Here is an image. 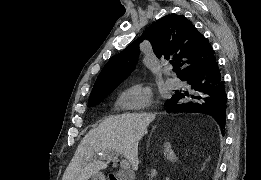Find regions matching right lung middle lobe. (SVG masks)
I'll list each match as a JSON object with an SVG mask.
<instances>
[{"label":"right lung middle lobe","instance_id":"1","mask_svg":"<svg viewBox=\"0 0 261 180\" xmlns=\"http://www.w3.org/2000/svg\"><path fill=\"white\" fill-rule=\"evenodd\" d=\"M107 95H108V94H107ZM107 95L97 96V97H94V98H90L89 101H88V106L93 107V106L99 104L100 102H102V101L104 100V98H105Z\"/></svg>","mask_w":261,"mask_h":180}]
</instances>
